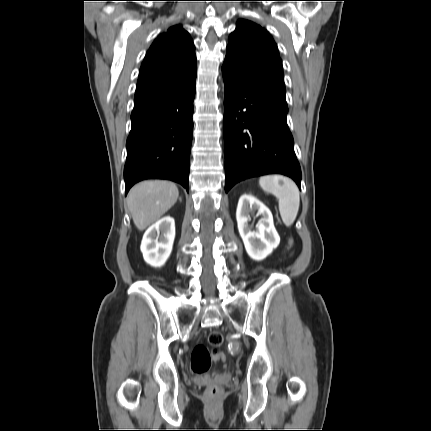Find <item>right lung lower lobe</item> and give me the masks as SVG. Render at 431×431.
Here are the masks:
<instances>
[{"mask_svg":"<svg viewBox=\"0 0 431 431\" xmlns=\"http://www.w3.org/2000/svg\"><path fill=\"white\" fill-rule=\"evenodd\" d=\"M195 79L174 95L133 109L124 168L126 194L137 182L168 179L188 191Z\"/></svg>","mask_w":431,"mask_h":431,"instance_id":"right-lung-lower-lobe-1","label":"right lung lower lobe"}]
</instances>
